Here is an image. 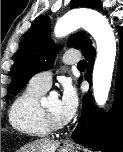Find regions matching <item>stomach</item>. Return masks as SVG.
<instances>
[{"mask_svg":"<svg viewBox=\"0 0 123 152\" xmlns=\"http://www.w3.org/2000/svg\"><path fill=\"white\" fill-rule=\"evenodd\" d=\"M58 152H72V150L70 148H67V147H62L58 150Z\"/></svg>","mask_w":123,"mask_h":152,"instance_id":"1","label":"stomach"}]
</instances>
